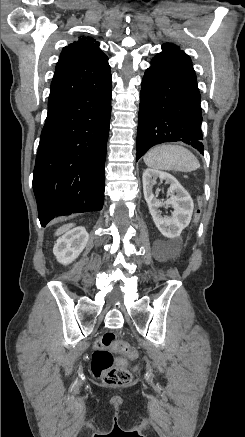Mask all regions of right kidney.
Segmentation results:
<instances>
[{
    "label": "right kidney",
    "mask_w": 245,
    "mask_h": 437,
    "mask_svg": "<svg viewBox=\"0 0 245 437\" xmlns=\"http://www.w3.org/2000/svg\"><path fill=\"white\" fill-rule=\"evenodd\" d=\"M89 234L84 227H76L60 237L53 248L58 262L64 265L72 263L86 247Z\"/></svg>",
    "instance_id": "right-kidney-1"
}]
</instances>
